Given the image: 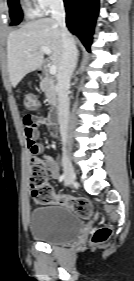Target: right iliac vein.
<instances>
[{"label":"right iliac vein","instance_id":"right-iliac-vein-1","mask_svg":"<svg viewBox=\"0 0 134 281\" xmlns=\"http://www.w3.org/2000/svg\"><path fill=\"white\" fill-rule=\"evenodd\" d=\"M63 165L65 174V185H72L75 182V171L65 150L63 151Z\"/></svg>","mask_w":134,"mask_h":281}]
</instances>
